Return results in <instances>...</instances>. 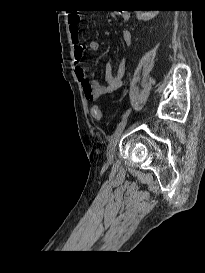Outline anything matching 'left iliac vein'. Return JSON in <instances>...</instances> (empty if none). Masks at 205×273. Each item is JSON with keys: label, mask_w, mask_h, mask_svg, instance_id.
<instances>
[{"label": "left iliac vein", "mask_w": 205, "mask_h": 273, "mask_svg": "<svg viewBox=\"0 0 205 273\" xmlns=\"http://www.w3.org/2000/svg\"><path fill=\"white\" fill-rule=\"evenodd\" d=\"M127 121H128V117L124 118L120 123L119 125L117 126L109 144H108V147H107V160L109 162L113 161V158H114V155H115V150H116V145L120 139V136L127 124Z\"/></svg>", "instance_id": "4c4485c4"}]
</instances>
